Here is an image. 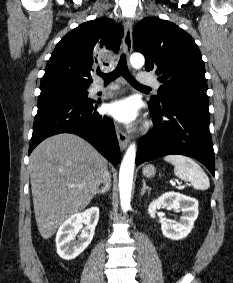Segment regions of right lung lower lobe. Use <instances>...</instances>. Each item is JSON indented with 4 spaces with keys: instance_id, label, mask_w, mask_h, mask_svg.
<instances>
[{
    "instance_id": "right-lung-lower-lobe-1",
    "label": "right lung lower lobe",
    "mask_w": 233,
    "mask_h": 283,
    "mask_svg": "<svg viewBox=\"0 0 233 283\" xmlns=\"http://www.w3.org/2000/svg\"><path fill=\"white\" fill-rule=\"evenodd\" d=\"M99 102L67 93H44L38 98L29 154L45 138L59 133L83 137L114 165L120 149L111 119L96 112Z\"/></svg>"
}]
</instances>
